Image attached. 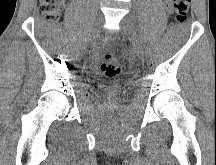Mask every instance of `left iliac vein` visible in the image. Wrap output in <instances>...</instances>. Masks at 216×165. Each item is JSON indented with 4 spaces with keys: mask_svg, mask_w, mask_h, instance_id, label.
<instances>
[{
    "mask_svg": "<svg viewBox=\"0 0 216 165\" xmlns=\"http://www.w3.org/2000/svg\"><path fill=\"white\" fill-rule=\"evenodd\" d=\"M121 27L132 43L135 53L141 56L143 54V45L132 19L128 16L124 17L121 21Z\"/></svg>",
    "mask_w": 216,
    "mask_h": 165,
    "instance_id": "left-iliac-vein-1",
    "label": "left iliac vein"
}]
</instances>
